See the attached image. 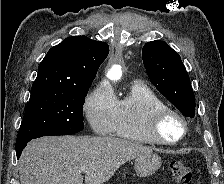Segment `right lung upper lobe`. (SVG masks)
<instances>
[{
  "instance_id": "cb5924a9",
  "label": "right lung upper lobe",
  "mask_w": 224,
  "mask_h": 184,
  "mask_svg": "<svg viewBox=\"0 0 224 184\" xmlns=\"http://www.w3.org/2000/svg\"><path fill=\"white\" fill-rule=\"evenodd\" d=\"M108 53L105 42L86 36L68 37L48 51L38 67L32 90L88 87Z\"/></svg>"
}]
</instances>
